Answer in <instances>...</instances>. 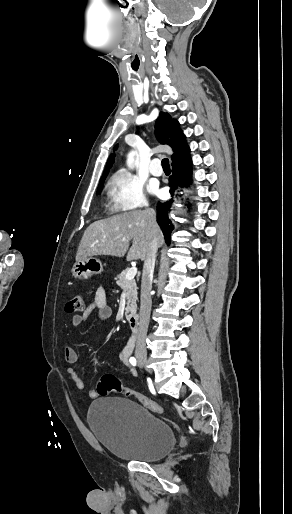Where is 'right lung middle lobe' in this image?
I'll return each instance as SVG.
<instances>
[{
	"label": "right lung middle lobe",
	"instance_id": "dd1d6c3e",
	"mask_svg": "<svg viewBox=\"0 0 292 514\" xmlns=\"http://www.w3.org/2000/svg\"><path fill=\"white\" fill-rule=\"evenodd\" d=\"M103 182H104V180L100 181V183H99V186H98V189H97V193H98V194H99V193L101 192V190H102Z\"/></svg>",
	"mask_w": 292,
	"mask_h": 514
}]
</instances>
